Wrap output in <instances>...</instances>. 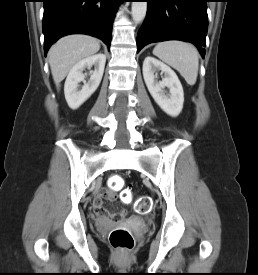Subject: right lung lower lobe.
<instances>
[{
  "label": "right lung lower lobe",
  "instance_id": "right-lung-lower-lobe-1",
  "mask_svg": "<svg viewBox=\"0 0 258 275\" xmlns=\"http://www.w3.org/2000/svg\"><path fill=\"white\" fill-rule=\"evenodd\" d=\"M124 0H43L45 55L59 38L73 33L97 37L110 47L112 25Z\"/></svg>",
  "mask_w": 258,
  "mask_h": 275
}]
</instances>
